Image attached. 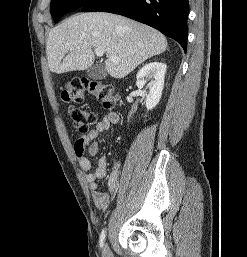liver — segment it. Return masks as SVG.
Masks as SVG:
<instances>
[{"mask_svg":"<svg viewBox=\"0 0 247 257\" xmlns=\"http://www.w3.org/2000/svg\"><path fill=\"white\" fill-rule=\"evenodd\" d=\"M167 45L164 35L152 27L96 12L74 15L51 29L46 53L50 71L62 74L90 68L93 49H100L107 55L105 69L110 76L124 78L145 60L163 53Z\"/></svg>","mask_w":247,"mask_h":257,"instance_id":"1","label":"liver"}]
</instances>
